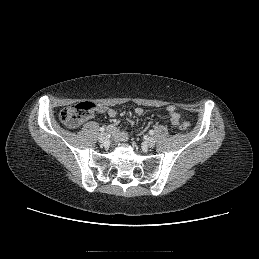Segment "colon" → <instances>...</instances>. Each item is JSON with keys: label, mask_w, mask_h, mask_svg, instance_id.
Masks as SVG:
<instances>
[{"label": "colon", "mask_w": 259, "mask_h": 259, "mask_svg": "<svg viewBox=\"0 0 259 259\" xmlns=\"http://www.w3.org/2000/svg\"><path fill=\"white\" fill-rule=\"evenodd\" d=\"M96 110L97 106L94 103L84 101L64 108L60 112L59 118L66 126L76 128ZM179 127L182 131H187L190 128V123L188 121H182Z\"/></svg>", "instance_id": "colon-1"}]
</instances>
